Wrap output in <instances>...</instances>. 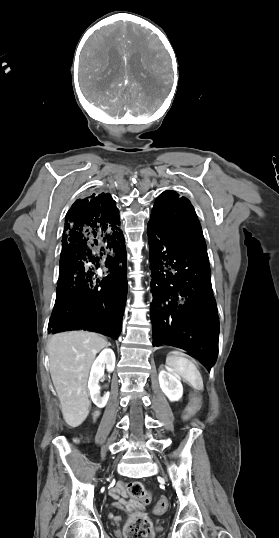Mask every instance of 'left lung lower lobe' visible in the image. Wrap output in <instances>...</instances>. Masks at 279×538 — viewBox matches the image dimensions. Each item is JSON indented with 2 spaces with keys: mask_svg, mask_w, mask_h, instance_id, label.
Returning a JSON list of instances; mask_svg holds the SVG:
<instances>
[{
  "mask_svg": "<svg viewBox=\"0 0 279 538\" xmlns=\"http://www.w3.org/2000/svg\"><path fill=\"white\" fill-rule=\"evenodd\" d=\"M147 235L153 346L184 349L210 371L218 355L219 319L205 241L150 227Z\"/></svg>",
  "mask_w": 279,
  "mask_h": 538,
  "instance_id": "obj_1",
  "label": "left lung lower lobe"
}]
</instances>
